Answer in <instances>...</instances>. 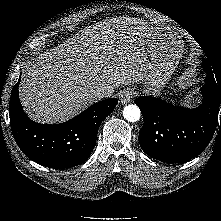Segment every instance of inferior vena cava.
I'll return each instance as SVG.
<instances>
[{
    "mask_svg": "<svg viewBox=\"0 0 221 221\" xmlns=\"http://www.w3.org/2000/svg\"><path fill=\"white\" fill-rule=\"evenodd\" d=\"M109 96H110V92L102 88L93 90L91 93V97H93L96 100H101L102 98H106Z\"/></svg>",
    "mask_w": 221,
    "mask_h": 221,
    "instance_id": "602c4592",
    "label": "inferior vena cava"
}]
</instances>
